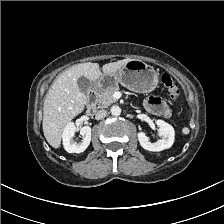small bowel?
Wrapping results in <instances>:
<instances>
[{
	"mask_svg": "<svg viewBox=\"0 0 224 224\" xmlns=\"http://www.w3.org/2000/svg\"><path fill=\"white\" fill-rule=\"evenodd\" d=\"M145 107L152 113L169 116L170 111L159 97H150L145 101Z\"/></svg>",
	"mask_w": 224,
	"mask_h": 224,
	"instance_id": "c3829d8e",
	"label": "small bowel"
}]
</instances>
